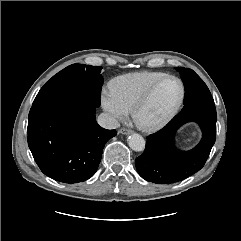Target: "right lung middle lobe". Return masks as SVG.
Returning <instances> with one entry per match:
<instances>
[{
    "mask_svg": "<svg viewBox=\"0 0 241 241\" xmlns=\"http://www.w3.org/2000/svg\"><path fill=\"white\" fill-rule=\"evenodd\" d=\"M100 66L72 64L54 75L37 94L32 107L48 103L86 99L100 106L103 85Z\"/></svg>",
    "mask_w": 241,
    "mask_h": 241,
    "instance_id": "dd1d6c3e",
    "label": "right lung middle lobe"
}]
</instances>
